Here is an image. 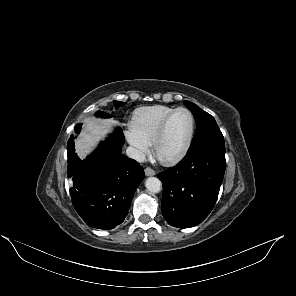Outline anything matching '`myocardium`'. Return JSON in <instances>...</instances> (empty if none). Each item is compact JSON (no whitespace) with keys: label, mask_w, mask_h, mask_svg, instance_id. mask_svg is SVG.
Masks as SVG:
<instances>
[{"label":"myocardium","mask_w":296,"mask_h":296,"mask_svg":"<svg viewBox=\"0 0 296 296\" xmlns=\"http://www.w3.org/2000/svg\"><path fill=\"white\" fill-rule=\"evenodd\" d=\"M180 111H184V112H187L191 118V129H190V133H189V136H188V139L186 141V144L184 145L183 149L178 153L176 154L175 156L167 159V160H161L158 155H157V149H158V145L159 143L161 142V140L163 139L164 137V134L166 132V129H167V126L169 124V122L171 121V119L173 118V116L180 112ZM195 129H196V119H195V116L194 114L192 113L191 110H189L188 108H185V107H178V108H175L170 114H168L165 119L162 121L155 137H154V140L152 142V151H153V154L155 155V157L163 164L165 165H173L179 161H181L185 156L186 154L188 153L191 145H192V142H193V138H194V134H195Z\"/></svg>","instance_id":"1"}]
</instances>
